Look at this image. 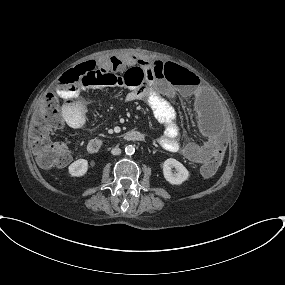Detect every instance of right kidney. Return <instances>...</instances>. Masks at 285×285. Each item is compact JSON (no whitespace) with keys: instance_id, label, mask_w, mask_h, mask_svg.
Listing matches in <instances>:
<instances>
[{"instance_id":"right-kidney-1","label":"right kidney","mask_w":285,"mask_h":285,"mask_svg":"<svg viewBox=\"0 0 285 285\" xmlns=\"http://www.w3.org/2000/svg\"><path fill=\"white\" fill-rule=\"evenodd\" d=\"M88 161L85 159H78L70 164L68 172L73 177H81L87 173Z\"/></svg>"}]
</instances>
